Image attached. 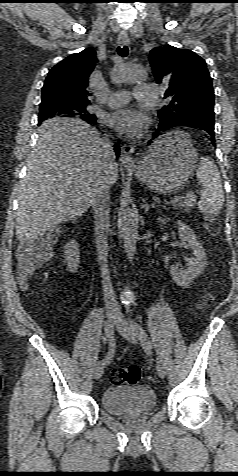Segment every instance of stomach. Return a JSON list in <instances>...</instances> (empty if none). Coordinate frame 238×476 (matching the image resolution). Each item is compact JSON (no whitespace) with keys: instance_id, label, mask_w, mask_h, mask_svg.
Returning a JSON list of instances; mask_svg holds the SVG:
<instances>
[{"instance_id":"0dacf381","label":"stomach","mask_w":238,"mask_h":476,"mask_svg":"<svg viewBox=\"0 0 238 476\" xmlns=\"http://www.w3.org/2000/svg\"><path fill=\"white\" fill-rule=\"evenodd\" d=\"M197 161L198 154L193 144L181 131H172L149 147L134 167V172L151 190L168 194L188 181Z\"/></svg>"}]
</instances>
